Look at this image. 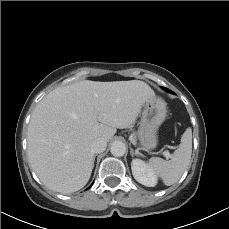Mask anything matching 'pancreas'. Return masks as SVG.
Wrapping results in <instances>:
<instances>
[{
	"instance_id": "cf45deb5",
	"label": "pancreas",
	"mask_w": 229,
	"mask_h": 229,
	"mask_svg": "<svg viewBox=\"0 0 229 229\" xmlns=\"http://www.w3.org/2000/svg\"><path fill=\"white\" fill-rule=\"evenodd\" d=\"M132 140L135 141L136 140V135L132 134Z\"/></svg>"
}]
</instances>
